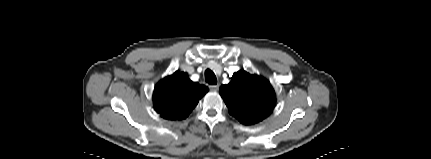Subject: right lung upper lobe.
Here are the masks:
<instances>
[{"mask_svg":"<svg viewBox=\"0 0 431 159\" xmlns=\"http://www.w3.org/2000/svg\"><path fill=\"white\" fill-rule=\"evenodd\" d=\"M207 91V87L192 82L186 73L177 71L155 86L154 108L165 119L181 120L190 114Z\"/></svg>","mask_w":431,"mask_h":159,"instance_id":"obj_1","label":"right lung upper lobe"}]
</instances>
